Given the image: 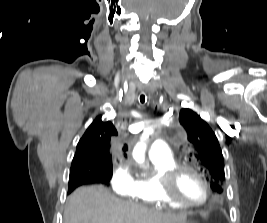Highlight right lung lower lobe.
<instances>
[{"label":"right lung lower lobe","mask_w":267,"mask_h":223,"mask_svg":"<svg viewBox=\"0 0 267 223\" xmlns=\"http://www.w3.org/2000/svg\"><path fill=\"white\" fill-rule=\"evenodd\" d=\"M110 180V177H106L103 174H94V173H76L71 175L69 178V188L68 193L73 191L76 187L89 184V183H102L107 184Z\"/></svg>","instance_id":"98d812e1"}]
</instances>
